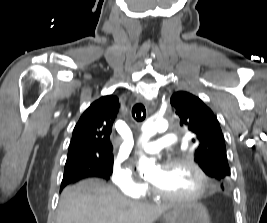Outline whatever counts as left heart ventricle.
I'll return each instance as SVG.
<instances>
[{
    "label": "left heart ventricle",
    "mask_w": 267,
    "mask_h": 223,
    "mask_svg": "<svg viewBox=\"0 0 267 223\" xmlns=\"http://www.w3.org/2000/svg\"><path fill=\"white\" fill-rule=\"evenodd\" d=\"M149 180L159 191L169 195H190L199 188L196 173L187 165L157 168Z\"/></svg>",
    "instance_id": "left-heart-ventricle-1"
}]
</instances>
